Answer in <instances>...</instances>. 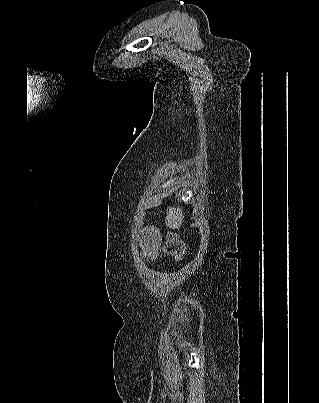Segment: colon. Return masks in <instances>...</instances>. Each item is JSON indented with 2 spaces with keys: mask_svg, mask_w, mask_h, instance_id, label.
Returning <instances> with one entry per match:
<instances>
[{
  "mask_svg": "<svg viewBox=\"0 0 319 403\" xmlns=\"http://www.w3.org/2000/svg\"><path fill=\"white\" fill-rule=\"evenodd\" d=\"M146 234H147V240H142L141 246L142 247L149 246L151 249L155 250L159 244L158 233L155 230L149 228L146 230ZM165 249L173 256L175 260L181 259V257L186 252L185 244L180 239L174 236L168 237L165 243Z\"/></svg>",
  "mask_w": 319,
  "mask_h": 403,
  "instance_id": "5ec220e1",
  "label": "colon"
}]
</instances>
